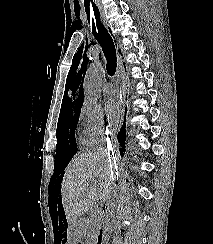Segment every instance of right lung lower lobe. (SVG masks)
<instances>
[{
	"label": "right lung lower lobe",
	"instance_id": "right-lung-lower-lobe-1",
	"mask_svg": "<svg viewBox=\"0 0 213 244\" xmlns=\"http://www.w3.org/2000/svg\"><path fill=\"white\" fill-rule=\"evenodd\" d=\"M125 133L126 130H125V119H124V124L121 127L120 132L118 133V142L121 146L120 153L122 156H123V151L125 152V141H126Z\"/></svg>",
	"mask_w": 213,
	"mask_h": 244
}]
</instances>
